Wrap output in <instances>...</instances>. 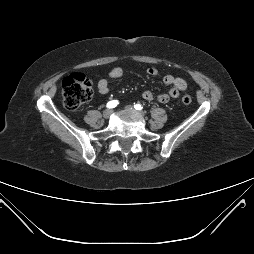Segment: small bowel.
<instances>
[{"label": "small bowel", "mask_w": 254, "mask_h": 254, "mask_svg": "<svg viewBox=\"0 0 254 254\" xmlns=\"http://www.w3.org/2000/svg\"><path fill=\"white\" fill-rule=\"evenodd\" d=\"M147 74L149 76H157L158 71L156 68L150 67L147 69ZM123 70L119 67L112 68L108 73V78L110 79H117L122 77ZM163 82L170 86V89L166 93H161L155 97L153 92L146 90L142 93L143 99L147 101H152L155 98L160 103H168L171 99H175L179 96L180 92L185 91L187 89L186 81L181 77H176L173 75H165L163 77ZM97 89L100 94H107L109 92V80L107 78H101L97 83Z\"/></svg>", "instance_id": "small-bowel-1"}]
</instances>
